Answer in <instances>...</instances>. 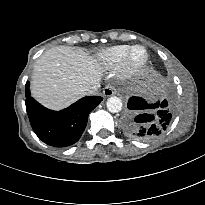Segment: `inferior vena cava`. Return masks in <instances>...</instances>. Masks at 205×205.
Listing matches in <instances>:
<instances>
[{"mask_svg": "<svg viewBox=\"0 0 205 205\" xmlns=\"http://www.w3.org/2000/svg\"><path fill=\"white\" fill-rule=\"evenodd\" d=\"M98 87H99L98 84L92 86V88L88 91V93H89V94H94V93L97 91Z\"/></svg>", "mask_w": 205, "mask_h": 205, "instance_id": "1", "label": "inferior vena cava"}]
</instances>
